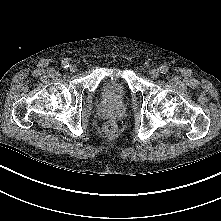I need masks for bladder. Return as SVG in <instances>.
I'll list each match as a JSON object with an SVG mask.
<instances>
[{
    "mask_svg": "<svg viewBox=\"0 0 221 221\" xmlns=\"http://www.w3.org/2000/svg\"><path fill=\"white\" fill-rule=\"evenodd\" d=\"M100 92L103 98L124 99L128 95L127 79L122 67H113L110 74L101 82Z\"/></svg>",
    "mask_w": 221,
    "mask_h": 221,
    "instance_id": "1",
    "label": "bladder"
}]
</instances>
